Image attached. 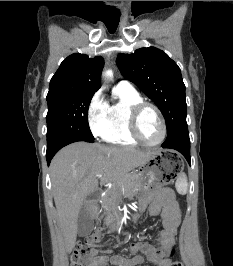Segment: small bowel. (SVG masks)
Here are the masks:
<instances>
[{
    "mask_svg": "<svg viewBox=\"0 0 233 266\" xmlns=\"http://www.w3.org/2000/svg\"><path fill=\"white\" fill-rule=\"evenodd\" d=\"M150 198H154V202L149 208L150 214L158 215L162 219V228L154 236L155 244L132 243L129 250L136 255L131 259H126L119 254H112V250L108 248L110 244H93L83 258L84 266H137L146 260L154 266H170L164 256L175 243L181 220L180 207L174 192L168 188L160 190L155 195H144L140 202L141 209L146 207Z\"/></svg>",
    "mask_w": 233,
    "mask_h": 266,
    "instance_id": "obj_1",
    "label": "small bowel"
}]
</instances>
